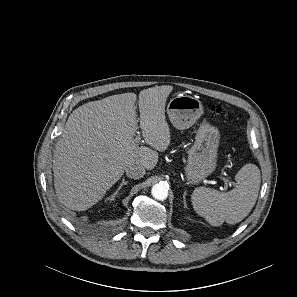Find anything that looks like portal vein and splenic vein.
Masks as SVG:
<instances>
[{"mask_svg": "<svg viewBox=\"0 0 297 297\" xmlns=\"http://www.w3.org/2000/svg\"><path fill=\"white\" fill-rule=\"evenodd\" d=\"M140 141H141V135H140V132L137 131V135H136V137H135V139H134V142H135V143H139ZM223 180H224V183H225V187H224L223 190H226V189H227V185H228V184H229V185H236V183H234V182H232V181H229V180L226 179V178H224Z\"/></svg>", "mask_w": 297, "mask_h": 297, "instance_id": "obj_1", "label": "portal vein and splenic vein"}]
</instances>
